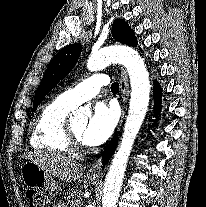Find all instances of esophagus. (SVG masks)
Returning <instances> with one entry per match:
<instances>
[{
	"label": "esophagus",
	"instance_id": "1",
	"mask_svg": "<svg viewBox=\"0 0 206 207\" xmlns=\"http://www.w3.org/2000/svg\"><path fill=\"white\" fill-rule=\"evenodd\" d=\"M121 77L125 81L126 80V71L121 67ZM128 92L126 87L121 90V98H122V115L119 122L118 129L122 125L124 115H125V109H126V100H127ZM101 169H102V158H98L90 167L87 169V173L89 175H92L93 177L99 178L101 175Z\"/></svg>",
	"mask_w": 206,
	"mask_h": 207
}]
</instances>
